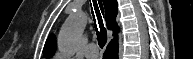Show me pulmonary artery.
<instances>
[{
	"label": "pulmonary artery",
	"instance_id": "e3ab8cb5",
	"mask_svg": "<svg viewBox=\"0 0 193 59\" xmlns=\"http://www.w3.org/2000/svg\"><path fill=\"white\" fill-rule=\"evenodd\" d=\"M85 56L88 59H94L97 56V48L94 43L88 44L85 50Z\"/></svg>",
	"mask_w": 193,
	"mask_h": 59
}]
</instances>
